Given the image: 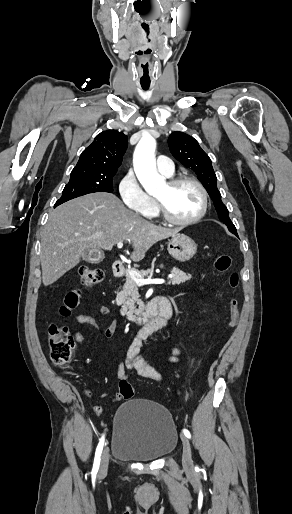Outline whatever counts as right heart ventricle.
<instances>
[{"label":"right heart ventricle","instance_id":"1","mask_svg":"<svg viewBox=\"0 0 292 514\" xmlns=\"http://www.w3.org/2000/svg\"><path fill=\"white\" fill-rule=\"evenodd\" d=\"M149 212H150V213H153V214H156V213H157V210H156V208H155V206H154V204H153V201H152V203H151V207H150V209H149Z\"/></svg>","mask_w":292,"mask_h":514}]
</instances>
